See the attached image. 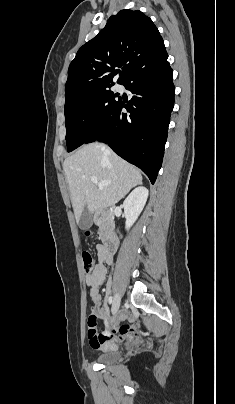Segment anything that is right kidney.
Segmentation results:
<instances>
[{"label": "right kidney", "instance_id": "obj_1", "mask_svg": "<svg viewBox=\"0 0 235 404\" xmlns=\"http://www.w3.org/2000/svg\"><path fill=\"white\" fill-rule=\"evenodd\" d=\"M148 195V189L146 187L140 186L135 188L125 199L123 207L126 217L125 228L127 230L134 224V222L137 220L138 216L142 212L146 204Z\"/></svg>", "mask_w": 235, "mask_h": 404}]
</instances>
